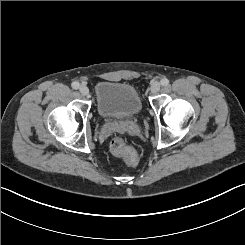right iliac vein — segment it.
Returning <instances> with one entry per match:
<instances>
[{"label":"right iliac vein","instance_id":"right-iliac-vein-1","mask_svg":"<svg viewBox=\"0 0 245 245\" xmlns=\"http://www.w3.org/2000/svg\"><path fill=\"white\" fill-rule=\"evenodd\" d=\"M79 91L82 95H87L89 93V89L87 86L85 85H82L80 88H79Z\"/></svg>","mask_w":245,"mask_h":245}]
</instances>
